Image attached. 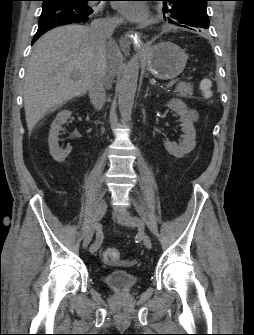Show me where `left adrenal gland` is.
Returning <instances> with one entry per match:
<instances>
[{"label": "left adrenal gland", "instance_id": "obj_1", "mask_svg": "<svg viewBox=\"0 0 254 335\" xmlns=\"http://www.w3.org/2000/svg\"><path fill=\"white\" fill-rule=\"evenodd\" d=\"M149 96V87H147L146 93L144 95V98H147Z\"/></svg>", "mask_w": 254, "mask_h": 335}]
</instances>
